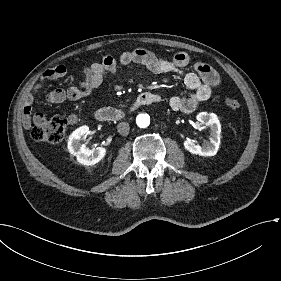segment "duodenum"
Returning <instances> with one entry per match:
<instances>
[{
  "instance_id": "obj_1",
  "label": "duodenum",
  "mask_w": 281,
  "mask_h": 281,
  "mask_svg": "<svg viewBox=\"0 0 281 281\" xmlns=\"http://www.w3.org/2000/svg\"><path fill=\"white\" fill-rule=\"evenodd\" d=\"M151 100V93H143L137 97L135 102L133 103L131 110H135L138 107L148 104ZM127 114L126 111H121L114 108H104L98 110L94 114V118L99 122L106 121H119Z\"/></svg>"
}]
</instances>
